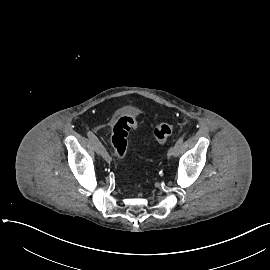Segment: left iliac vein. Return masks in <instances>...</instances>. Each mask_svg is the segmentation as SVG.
<instances>
[{
    "mask_svg": "<svg viewBox=\"0 0 270 270\" xmlns=\"http://www.w3.org/2000/svg\"><path fill=\"white\" fill-rule=\"evenodd\" d=\"M174 154H175V146L171 147V148L168 150L167 157H168V158H171Z\"/></svg>",
    "mask_w": 270,
    "mask_h": 270,
    "instance_id": "obj_1",
    "label": "left iliac vein"
}]
</instances>
